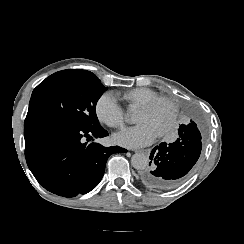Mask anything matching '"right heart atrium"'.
Returning a JSON list of instances; mask_svg holds the SVG:
<instances>
[{
    "label": "right heart atrium",
    "mask_w": 244,
    "mask_h": 244,
    "mask_svg": "<svg viewBox=\"0 0 244 244\" xmlns=\"http://www.w3.org/2000/svg\"><path fill=\"white\" fill-rule=\"evenodd\" d=\"M95 114L99 121L112 128H123L126 122L125 110L111 93H103L95 102Z\"/></svg>",
    "instance_id": "1"
}]
</instances>
